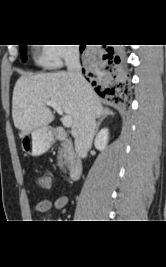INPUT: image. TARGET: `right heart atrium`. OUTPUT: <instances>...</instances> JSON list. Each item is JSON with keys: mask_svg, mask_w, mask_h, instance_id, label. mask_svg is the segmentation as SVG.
Returning <instances> with one entry per match:
<instances>
[{"mask_svg": "<svg viewBox=\"0 0 166 267\" xmlns=\"http://www.w3.org/2000/svg\"><path fill=\"white\" fill-rule=\"evenodd\" d=\"M76 50L68 45L45 44L43 49V63L48 68H58L64 61L73 58Z\"/></svg>", "mask_w": 166, "mask_h": 267, "instance_id": "d8ad5b80", "label": "right heart atrium"}]
</instances>
